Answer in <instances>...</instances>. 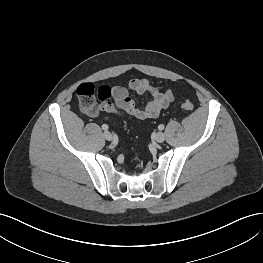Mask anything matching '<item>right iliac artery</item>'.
I'll use <instances>...</instances> for the list:
<instances>
[{"label": "right iliac artery", "mask_w": 263, "mask_h": 263, "mask_svg": "<svg viewBox=\"0 0 263 263\" xmlns=\"http://www.w3.org/2000/svg\"><path fill=\"white\" fill-rule=\"evenodd\" d=\"M102 129H103V130H108V125L103 124V125H102Z\"/></svg>", "instance_id": "obj_1"}]
</instances>
